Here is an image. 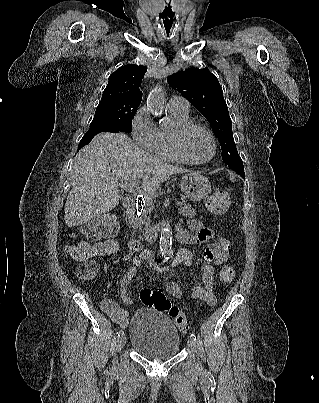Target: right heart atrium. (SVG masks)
Masks as SVG:
<instances>
[{"instance_id":"right-heart-atrium-1","label":"right heart atrium","mask_w":319,"mask_h":403,"mask_svg":"<svg viewBox=\"0 0 319 403\" xmlns=\"http://www.w3.org/2000/svg\"><path fill=\"white\" fill-rule=\"evenodd\" d=\"M131 134L135 143L148 153H155L157 127L149 117L148 108L140 107L131 119Z\"/></svg>"}]
</instances>
